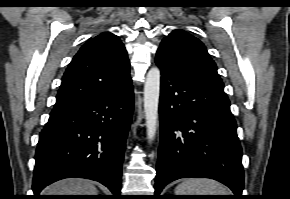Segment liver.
I'll return each instance as SVG.
<instances>
[{"label":"liver","instance_id":"1","mask_svg":"<svg viewBox=\"0 0 290 199\" xmlns=\"http://www.w3.org/2000/svg\"><path fill=\"white\" fill-rule=\"evenodd\" d=\"M44 193L45 195H97V189L91 181L71 178L50 185Z\"/></svg>","mask_w":290,"mask_h":199}]
</instances>
